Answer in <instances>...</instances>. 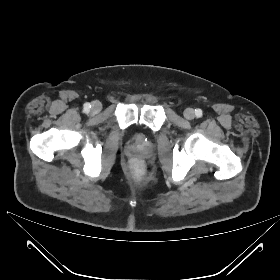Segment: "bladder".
<instances>
[{
    "instance_id": "31cf9c89",
    "label": "bladder",
    "mask_w": 280,
    "mask_h": 280,
    "mask_svg": "<svg viewBox=\"0 0 280 280\" xmlns=\"http://www.w3.org/2000/svg\"><path fill=\"white\" fill-rule=\"evenodd\" d=\"M134 136H135L136 140H138V141L144 140V135L143 134H135Z\"/></svg>"
}]
</instances>
